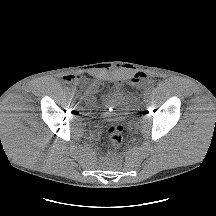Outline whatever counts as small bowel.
I'll return each instance as SVG.
<instances>
[{
  "mask_svg": "<svg viewBox=\"0 0 216 216\" xmlns=\"http://www.w3.org/2000/svg\"><path fill=\"white\" fill-rule=\"evenodd\" d=\"M145 76H146V75L143 74V73H137V74L133 77L132 81L135 82V83L140 82L141 80H143V79L145 78ZM80 78H81V77L78 76V75H70V76L64 77V80H65L66 82L71 83V82H75V81L79 80ZM95 88H96L95 84H90V85H89V90H94Z\"/></svg>",
  "mask_w": 216,
  "mask_h": 216,
  "instance_id": "small-bowel-1",
  "label": "small bowel"
}]
</instances>
